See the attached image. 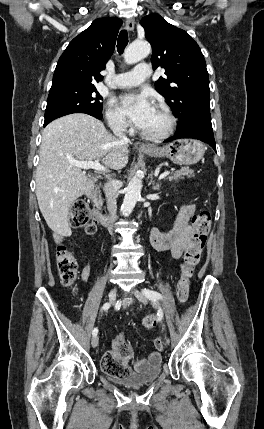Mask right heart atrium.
<instances>
[{
  "mask_svg": "<svg viewBox=\"0 0 264 429\" xmlns=\"http://www.w3.org/2000/svg\"><path fill=\"white\" fill-rule=\"evenodd\" d=\"M106 120L109 127L115 132H126L129 124L125 117L110 103L106 110Z\"/></svg>",
  "mask_w": 264,
  "mask_h": 429,
  "instance_id": "obj_1",
  "label": "right heart atrium"
}]
</instances>
